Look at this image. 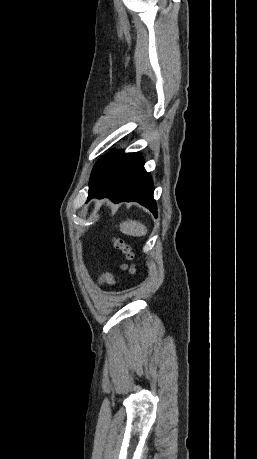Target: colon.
<instances>
[{"instance_id": "5ec220e1", "label": "colon", "mask_w": 257, "mask_h": 459, "mask_svg": "<svg viewBox=\"0 0 257 459\" xmlns=\"http://www.w3.org/2000/svg\"><path fill=\"white\" fill-rule=\"evenodd\" d=\"M115 246L119 248L123 254L125 255L127 261L131 262L133 260V252L131 251L130 247L121 239H118L115 241ZM122 269L126 272L132 273L133 272V266L132 264H124L122 266Z\"/></svg>"}]
</instances>
